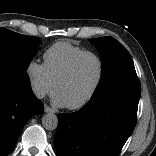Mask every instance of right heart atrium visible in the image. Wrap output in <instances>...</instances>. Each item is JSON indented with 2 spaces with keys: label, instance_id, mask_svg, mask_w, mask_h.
I'll return each mask as SVG.
<instances>
[{
  "label": "right heart atrium",
  "instance_id": "1",
  "mask_svg": "<svg viewBox=\"0 0 156 156\" xmlns=\"http://www.w3.org/2000/svg\"><path fill=\"white\" fill-rule=\"evenodd\" d=\"M25 72L30 89L37 98H44L53 91L55 82L49 76L44 63L31 60L28 62Z\"/></svg>",
  "mask_w": 156,
  "mask_h": 156
}]
</instances>
